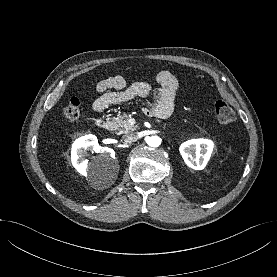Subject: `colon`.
Returning <instances> with one entry per match:
<instances>
[{
  "mask_svg": "<svg viewBox=\"0 0 277 277\" xmlns=\"http://www.w3.org/2000/svg\"><path fill=\"white\" fill-rule=\"evenodd\" d=\"M215 117L221 125H228L235 119L233 109L224 101H217L214 105ZM65 117L75 120L80 116V100L73 96L63 108Z\"/></svg>",
  "mask_w": 277,
  "mask_h": 277,
  "instance_id": "1",
  "label": "colon"
}]
</instances>
